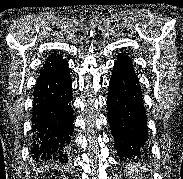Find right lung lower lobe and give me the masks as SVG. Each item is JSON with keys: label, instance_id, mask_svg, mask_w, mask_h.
<instances>
[{"label": "right lung lower lobe", "instance_id": "obj_1", "mask_svg": "<svg viewBox=\"0 0 183 179\" xmlns=\"http://www.w3.org/2000/svg\"><path fill=\"white\" fill-rule=\"evenodd\" d=\"M72 82L68 64L43 66L33 92L31 155L67 163L73 133Z\"/></svg>", "mask_w": 183, "mask_h": 179}]
</instances>
